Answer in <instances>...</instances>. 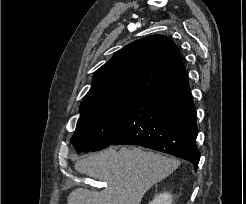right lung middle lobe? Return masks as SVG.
<instances>
[{
  "label": "right lung middle lobe",
  "instance_id": "1",
  "mask_svg": "<svg viewBox=\"0 0 246 204\" xmlns=\"http://www.w3.org/2000/svg\"><path fill=\"white\" fill-rule=\"evenodd\" d=\"M136 98H105L81 103V115L71 138L76 151H98L109 146Z\"/></svg>",
  "mask_w": 246,
  "mask_h": 204
}]
</instances>
